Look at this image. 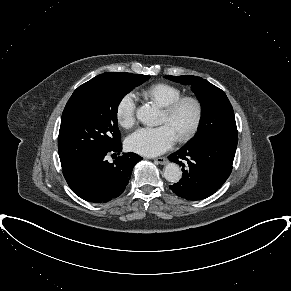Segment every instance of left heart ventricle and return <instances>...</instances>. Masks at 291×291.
<instances>
[{
    "label": "left heart ventricle",
    "instance_id": "obj_1",
    "mask_svg": "<svg viewBox=\"0 0 291 291\" xmlns=\"http://www.w3.org/2000/svg\"><path fill=\"white\" fill-rule=\"evenodd\" d=\"M194 115V107L192 106V104L186 103L173 117H168L163 112L160 124L168 125L177 138L180 135L184 134L190 128L194 119Z\"/></svg>",
    "mask_w": 291,
    "mask_h": 291
}]
</instances>
